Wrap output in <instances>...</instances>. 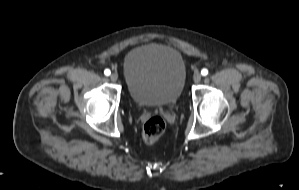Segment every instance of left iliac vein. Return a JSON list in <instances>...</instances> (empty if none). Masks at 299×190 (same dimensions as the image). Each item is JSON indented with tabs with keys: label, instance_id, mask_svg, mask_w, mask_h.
I'll use <instances>...</instances> for the list:
<instances>
[{
	"label": "left iliac vein",
	"instance_id": "1",
	"mask_svg": "<svg viewBox=\"0 0 299 190\" xmlns=\"http://www.w3.org/2000/svg\"><path fill=\"white\" fill-rule=\"evenodd\" d=\"M201 78H202V76H201V74H200L199 72H196V73L193 75V81H194L195 83L200 82Z\"/></svg>",
	"mask_w": 299,
	"mask_h": 190
}]
</instances>
